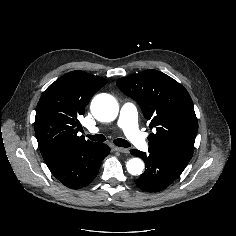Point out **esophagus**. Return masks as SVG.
Here are the masks:
<instances>
[{"label": "esophagus", "mask_w": 236, "mask_h": 236, "mask_svg": "<svg viewBox=\"0 0 236 236\" xmlns=\"http://www.w3.org/2000/svg\"><path fill=\"white\" fill-rule=\"evenodd\" d=\"M112 149L114 151L120 152V153H128L129 150L126 148H122V147H117V146H113Z\"/></svg>", "instance_id": "34e87169"}]
</instances>
